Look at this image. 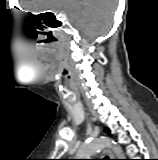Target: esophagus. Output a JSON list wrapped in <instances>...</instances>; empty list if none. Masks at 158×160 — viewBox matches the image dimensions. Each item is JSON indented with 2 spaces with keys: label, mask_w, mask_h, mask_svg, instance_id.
Instances as JSON below:
<instances>
[{
  "label": "esophagus",
  "mask_w": 158,
  "mask_h": 160,
  "mask_svg": "<svg viewBox=\"0 0 158 160\" xmlns=\"http://www.w3.org/2000/svg\"><path fill=\"white\" fill-rule=\"evenodd\" d=\"M104 152L110 157V159H113V154L109 149H106Z\"/></svg>",
  "instance_id": "34e87169"
}]
</instances>
